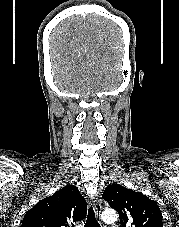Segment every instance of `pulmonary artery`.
<instances>
[{"mask_svg": "<svg viewBox=\"0 0 179 227\" xmlns=\"http://www.w3.org/2000/svg\"><path fill=\"white\" fill-rule=\"evenodd\" d=\"M110 227H120L119 224H112Z\"/></svg>", "mask_w": 179, "mask_h": 227, "instance_id": "obj_1", "label": "pulmonary artery"}]
</instances>
